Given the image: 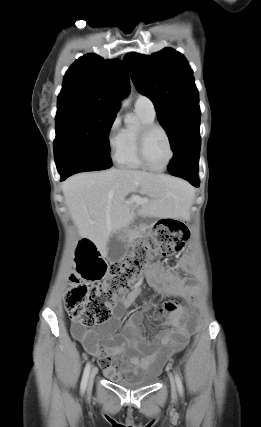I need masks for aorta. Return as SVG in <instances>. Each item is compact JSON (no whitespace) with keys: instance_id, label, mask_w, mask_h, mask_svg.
<instances>
[{"instance_id":"aorta-1","label":"aorta","mask_w":261,"mask_h":427,"mask_svg":"<svg viewBox=\"0 0 261 427\" xmlns=\"http://www.w3.org/2000/svg\"><path fill=\"white\" fill-rule=\"evenodd\" d=\"M128 104H129L128 100H124L122 102V106H128ZM125 122H133V119L130 116H128L125 118Z\"/></svg>"}]
</instances>
